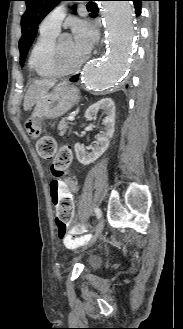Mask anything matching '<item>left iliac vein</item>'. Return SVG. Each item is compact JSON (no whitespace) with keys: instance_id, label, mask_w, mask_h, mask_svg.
<instances>
[{"instance_id":"4c4485c4","label":"left iliac vein","mask_w":183,"mask_h":329,"mask_svg":"<svg viewBox=\"0 0 183 329\" xmlns=\"http://www.w3.org/2000/svg\"><path fill=\"white\" fill-rule=\"evenodd\" d=\"M103 228H104V221L101 219L99 222H98V225L96 227V231H95V235L93 237V239L91 240L90 244L89 245H92L96 240L97 238L100 236V234L102 233L103 231Z\"/></svg>"}]
</instances>
